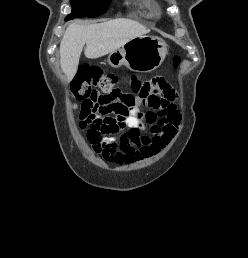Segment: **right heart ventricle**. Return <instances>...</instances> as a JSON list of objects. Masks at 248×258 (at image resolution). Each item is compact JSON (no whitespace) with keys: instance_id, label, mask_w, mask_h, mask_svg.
<instances>
[{"instance_id":"obj_1","label":"right heart ventricle","mask_w":248,"mask_h":258,"mask_svg":"<svg viewBox=\"0 0 248 258\" xmlns=\"http://www.w3.org/2000/svg\"><path fill=\"white\" fill-rule=\"evenodd\" d=\"M151 1L150 0H142V5L147 7V8H150L151 7Z\"/></svg>"}]
</instances>
